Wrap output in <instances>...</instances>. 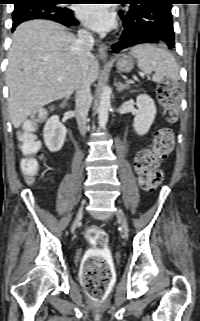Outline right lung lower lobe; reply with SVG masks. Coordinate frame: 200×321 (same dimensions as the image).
<instances>
[{
	"instance_id": "98d812e1",
	"label": "right lung lower lobe",
	"mask_w": 200,
	"mask_h": 321,
	"mask_svg": "<svg viewBox=\"0 0 200 321\" xmlns=\"http://www.w3.org/2000/svg\"><path fill=\"white\" fill-rule=\"evenodd\" d=\"M12 17V31L22 22L32 19L52 20L65 26H75L79 24L71 9L56 6L49 0H34L27 4L17 5L14 8Z\"/></svg>"
}]
</instances>
